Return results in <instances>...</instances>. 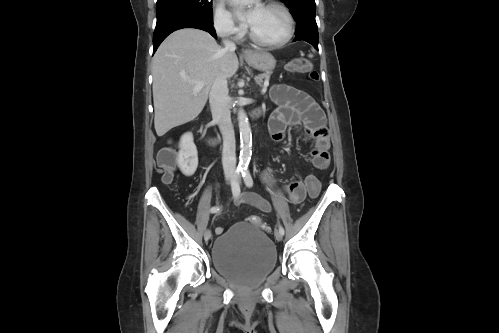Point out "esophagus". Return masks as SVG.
Here are the masks:
<instances>
[{
	"label": "esophagus",
	"instance_id": "obj_1",
	"mask_svg": "<svg viewBox=\"0 0 499 333\" xmlns=\"http://www.w3.org/2000/svg\"><path fill=\"white\" fill-rule=\"evenodd\" d=\"M241 54H242L243 56H247V55H249V54H250V51L243 49V50H242V52H241Z\"/></svg>",
	"mask_w": 499,
	"mask_h": 333
}]
</instances>
